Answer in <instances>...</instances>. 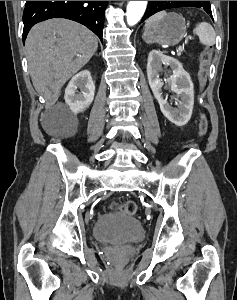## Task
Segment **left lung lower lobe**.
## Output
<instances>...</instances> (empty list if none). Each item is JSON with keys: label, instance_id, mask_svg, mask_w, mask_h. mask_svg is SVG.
Listing matches in <instances>:
<instances>
[{"label": "left lung lower lobe", "instance_id": "left-lung-lower-lobe-1", "mask_svg": "<svg viewBox=\"0 0 237 300\" xmlns=\"http://www.w3.org/2000/svg\"><path fill=\"white\" fill-rule=\"evenodd\" d=\"M209 14H210V16H212V12L211 11L209 12Z\"/></svg>", "mask_w": 237, "mask_h": 300}]
</instances>
